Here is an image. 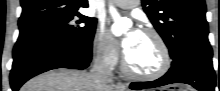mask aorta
Masks as SVG:
<instances>
[{
  "label": "aorta",
  "instance_id": "762f6f07",
  "mask_svg": "<svg viewBox=\"0 0 220 91\" xmlns=\"http://www.w3.org/2000/svg\"><path fill=\"white\" fill-rule=\"evenodd\" d=\"M110 13L114 19V24L112 26V32L115 35L122 34L125 27L129 26L131 23L126 18H121L113 6L109 7Z\"/></svg>",
  "mask_w": 220,
  "mask_h": 91
}]
</instances>
